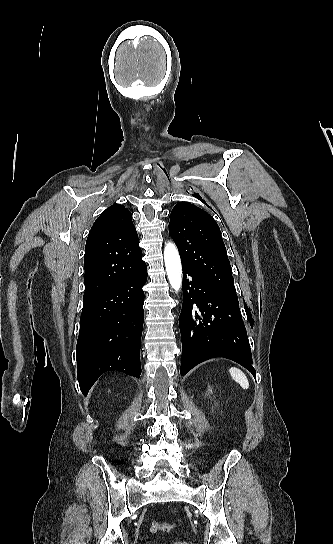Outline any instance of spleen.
Wrapping results in <instances>:
<instances>
[{"mask_svg":"<svg viewBox=\"0 0 333 544\" xmlns=\"http://www.w3.org/2000/svg\"><path fill=\"white\" fill-rule=\"evenodd\" d=\"M229 373L233 380L237 382L243 389L249 388V382L244 372L236 367H232L229 369Z\"/></svg>","mask_w":333,"mask_h":544,"instance_id":"spleen-1","label":"spleen"}]
</instances>
